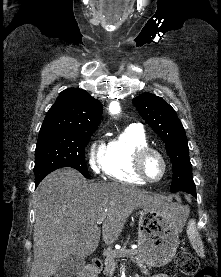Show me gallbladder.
Segmentation results:
<instances>
[{
    "label": "gallbladder",
    "instance_id": "bac80fb5",
    "mask_svg": "<svg viewBox=\"0 0 221 277\" xmlns=\"http://www.w3.org/2000/svg\"><path fill=\"white\" fill-rule=\"evenodd\" d=\"M85 265L82 257L71 255L57 267L54 277H75Z\"/></svg>",
    "mask_w": 221,
    "mask_h": 277
}]
</instances>
